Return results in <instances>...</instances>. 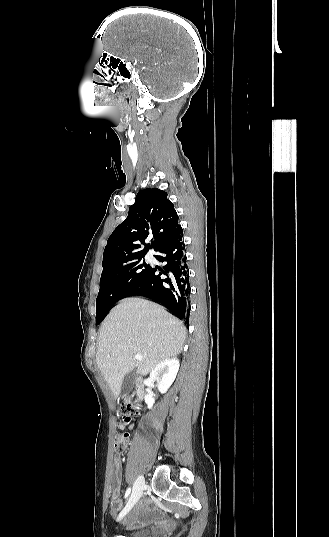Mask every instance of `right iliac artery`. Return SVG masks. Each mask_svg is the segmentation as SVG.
<instances>
[{"mask_svg": "<svg viewBox=\"0 0 329 537\" xmlns=\"http://www.w3.org/2000/svg\"><path fill=\"white\" fill-rule=\"evenodd\" d=\"M130 492H131V488L129 487V488H127V490L125 492V496H124L125 499L129 496Z\"/></svg>", "mask_w": 329, "mask_h": 537, "instance_id": "obj_1", "label": "right iliac artery"}]
</instances>
